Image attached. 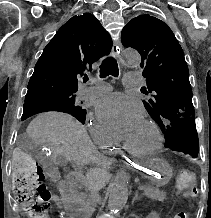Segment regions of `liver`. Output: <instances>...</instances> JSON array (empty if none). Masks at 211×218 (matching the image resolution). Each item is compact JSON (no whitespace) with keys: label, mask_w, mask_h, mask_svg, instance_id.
<instances>
[{"label":"liver","mask_w":211,"mask_h":218,"mask_svg":"<svg viewBox=\"0 0 211 218\" xmlns=\"http://www.w3.org/2000/svg\"><path fill=\"white\" fill-rule=\"evenodd\" d=\"M26 132L29 138L49 148L53 160H56L57 156H63L69 162L73 160L78 164H94L95 168H91L89 174L97 182H103L104 186L108 184L111 178L108 172L111 162L100 156L86 128L69 114H39L30 122Z\"/></svg>","instance_id":"liver-1"}]
</instances>
